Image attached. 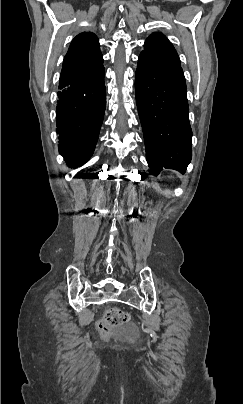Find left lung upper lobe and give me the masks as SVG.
Returning a JSON list of instances; mask_svg holds the SVG:
<instances>
[{
    "label": "left lung upper lobe",
    "mask_w": 243,
    "mask_h": 404,
    "mask_svg": "<svg viewBox=\"0 0 243 404\" xmlns=\"http://www.w3.org/2000/svg\"><path fill=\"white\" fill-rule=\"evenodd\" d=\"M154 60L171 65L180 66L179 56L170 41L161 33L151 34L145 41L144 51Z\"/></svg>",
    "instance_id": "obj_1"
}]
</instances>
